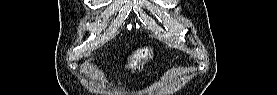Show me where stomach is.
Masks as SVG:
<instances>
[{"instance_id": "0dacf381", "label": "stomach", "mask_w": 277, "mask_h": 95, "mask_svg": "<svg viewBox=\"0 0 277 95\" xmlns=\"http://www.w3.org/2000/svg\"><path fill=\"white\" fill-rule=\"evenodd\" d=\"M154 56V49L148 46L142 47L135 51L129 58L126 68L131 71L140 69L148 63Z\"/></svg>"}]
</instances>
